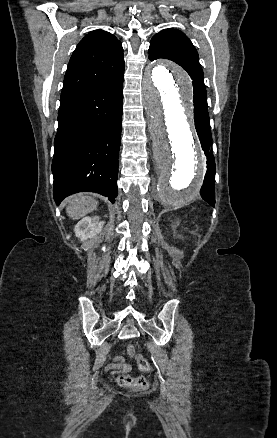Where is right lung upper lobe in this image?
I'll return each instance as SVG.
<instances>
[{"instance_id":"right-lung-upper-lobe-1","label":"right lung upper lobe","mask_w":277,"mask_h":438,"mask_svg":"<svg viewBox=\"0 0 277 438\" xmlns=\"http://www.w3.org/2000/svg\"><path fill=\"white\" fill-rule=\"evenodd\" d=\"M123 72L121 42L106 31H92L79 42L71 56L61 99L114 79Z\"/></svg>"}]
</instances>
